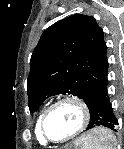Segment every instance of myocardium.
<instances>
[{"label": "myocardium", "mask_w": 124, "mask_h": 149, "mask_svg": "<svg viewBox=\"0 0 124 149\" xmlns=\"http://www.w3.org/2000/svg\"><path fill=\"white\" fill-rule=\"evenodd\" d=\"M65 103H72L75 106H77V108L79 109L80 114H81V123H80L79 127L76 129V131H74L68 137L61 139V140H54L51 137H49V135L47 134L46 121H47L50 113L55 108H57L60 105L65 104ZM89 121H90V109H89L88 105L85 103V101H83L82 99H80L76 96H67V97H63V98L57 100L56 102L51 104L44 111L42 118H41V122H40V132L46 142L52 143V144H63V143L69 142L72 139L79 136L87 128Z\"/></svg>", "instance_id": "f54148a6"}]
</instances>
